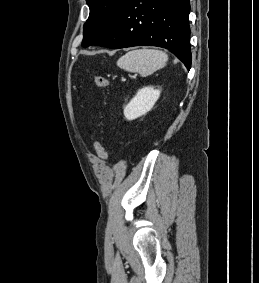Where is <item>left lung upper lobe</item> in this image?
<instances>
[{"label":"left lung upper lobe","mask_w":259,"mask_h":283,"mask_svg":"<svg viewBox=\"0 0 259 283\" xmlns=\"http://www.w3.org/2000/svg\"><path fill=\"white\" fill-rule=\"evenodd\" d=\"M90 14L84 24L82 46L96 44L111 29L127 0H86Z\"/></svg>","instance_id":"5c2ea615"}]
</instances>
